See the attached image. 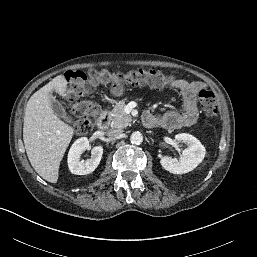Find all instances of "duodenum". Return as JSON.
<instances>
[{
	"mask_svg": "<svg viewBox=\"0 0 257 257\" xmlns=\"http://www.w3.org/2000/svg\"><path fill=\"white\" fill-rule=\"evenodd\" d=\"M109 125V115L107 110H103L98 119V128L104 130Z\"/></svg>",
	"mask_w": 257,
	"mask_h": 257,
	"instance_id": "410a0bca",
	"label": "duodenum"
}]
</instances>
